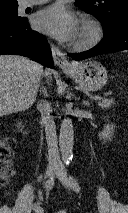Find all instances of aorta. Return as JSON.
<instances>
[{
	"mask_svg": "<svg viewBox=\"0 0 128 213\" xmlns=\"http://www.w3.org/2000/svg\"><path fill=\"white\" fill-rule=\"evenodd\" d=\"M74 130L70 118H64L60 126L59 147L62 161L69 164L73 158Z\"/></svg>",
	"mask_w": 128,
	"mask_h": 213,
	"instance_id": "762f6f07",
	"label": "aorta"
}]
</instances>
